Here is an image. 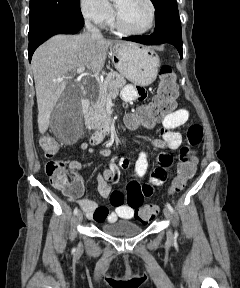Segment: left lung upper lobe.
Listing matches in <instances>:
<instances>
[{"label":"left lung upper lobe","instance_id":"obj_1","mask_svg":"<svg viewBox=\"0 0 240 288\" xmlns=\"http://www.w3.org/2000/svg\"><path fill=\"white\" fill-rule=\"evenodd\" d=\"M156 10L155 31L181 29L176 0H151Z\"/></svg>","mask_w":240,"mask_h":288}]
</instances>
